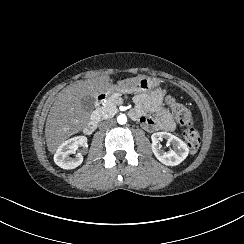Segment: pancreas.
<instances>
[{"label":"pancreas","instance_id":"pancreas-1","mask_svg":"<svg viewBox=\"0 0 244 244\" xmlns=\"http://www.w3.org/2000/svg\"><path fill=\"white\" fill-rule=\"evenodd\" d=\"M113 107H115V98L110 97L107 99L105 107L102 110L103 111H110V109Z\"/></svg>","mask_w":244,"mask_h":244}]
</instances>
